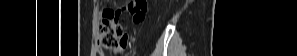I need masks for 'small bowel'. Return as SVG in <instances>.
<instances>
[{"label": "small bowel", "instance_id": "small-bowel-1", "mask_svg": "<svg viewBox=\"0 0 297 56\" xmlns=\"http://www.w3.org/2000/svg\"><path fill=\"white\" fill-rule=\"evenodd\" d=\"M131 33H122L121 40H119V47L116 51L120 49H128V41H130Z\"/></svg>", "mask_w": 297, "mask_h": 56}]
</instances>
